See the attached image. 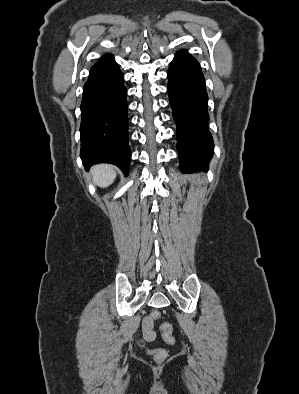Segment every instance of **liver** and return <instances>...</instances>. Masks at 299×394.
Returning a JSON list of instances; mask_svg holds the SVG:
<instances>
[{"instance_id": "6515ba94", "label": "liver", "mask_w": 299, "mask_h": 394, "mask_svg": "<svg viewBox=\"0 0 299 394\" xmlns=\"http://www.w3.org/2000/svg\"><path fill=\"white\" fill-rule=\"evenodd\" d=\"M91 173L94 183L103 188L111 185L116 177L115 168L108 164L94 166Z\"/></svg>"}]
</instances>
